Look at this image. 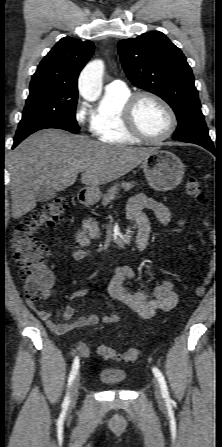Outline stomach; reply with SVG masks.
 I'll use <instances>...</instances> for the list:
<instances>
[{
  "label": "stomach",
  "mask_w": 222,
  "mask_h": 447,
  "mask_svg": "<svg viewBox=\"0 0 222 447\" xmlns=\"http://www.w3.org/2000/svg\"><path fill=\"white\" fill-rule=\"evenodd\" d=\"M141 168L149 185L158 191H167L179 185L184 176V165L172 152L156 149L142 161ZM101 192L92 187L86 190L89 203L97 202Z\"/></svg>",
  "instance_id": "0dacf381"
}]
</instances>
